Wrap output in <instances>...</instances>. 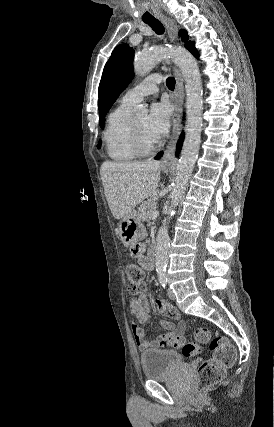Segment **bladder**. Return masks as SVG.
Returning <instances> with one entry per match:
<instances>
[{
  "label": "bladder",
  "instance_id": "bladder-1",
  "mask_svg": "<svg viewBox=\"0 0 274 427\" xmlns=\"http://www.w3.org/2000/svg\"><path fill=\"white\" fill-rule=\"evenodd\" d=\"M180 355L171 349H148L140 354L144 376L148 380L171 377L179 368Z\"/></svg>",
  "mask_w": 274,
  "mask_h": 427
}]
</instances>
